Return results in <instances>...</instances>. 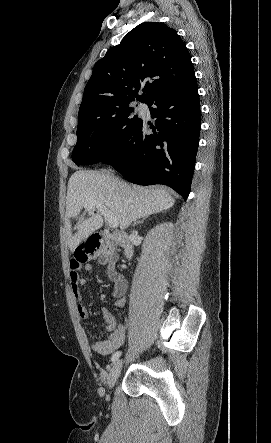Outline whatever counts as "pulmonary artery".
<instances>
[{"mask_svg":"<svg viewBox=\"0 0 271 443\" xmlns=\"http://www.w3.org/2000/svg\"><path fill=\"white\" fill-rule=\"evenodd\" d=\"M139 109H140L142 112H144V113H146V114H149V108H148V105H147V104H145V103H141V104L139 105Z\"/></svg>","mask_w":271,"mask_h":443,"instance_id":"obj_1","label":"pulmonary artery"}]
</instances>
